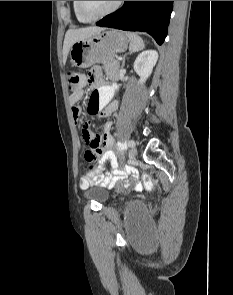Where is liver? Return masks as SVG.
<instances>
[{
	"instance_id": "obj_1",
	"label": "liver",
	"mask_w": 233,
	"mask_h": 295,
	"mask_svg": "<svg viewBox=\"0 0 233 295\" xmlns=\"http://www.w3.org/2000/svg\"><path fill=\"white\" fill-rule=\"evenodd\" d=\"M102 30H104V28L97 27V26L68 30L66 32L64 44H63V63L64 64L66 63L67 56L69 54V51L73 43L79 40L86 39L98 32H101Z\"/></svg>"
}]
</instances>
